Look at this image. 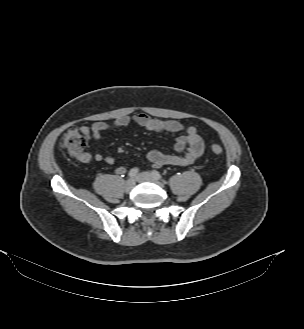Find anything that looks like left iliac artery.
Here are the masks:
<instances>
[{
	"instance_id": "1",
	"label": "left iliac artery",
	"mask_w": 304,
	"mask_h": 329,
	"mask_svg": "<svg viewBox=\"0 0 304 329\" xmlns=\"http://www.w3.org/2000/svg\"><path fill=\"white\" fill-rule=\"evenodd\" d=\"M152 174H153V176H154L155 178H157L158 180H162V181H164L163 178H162V176H161V174H160L158 171L153 170V171H152Z\"/></svg>"
}]
</instances>
